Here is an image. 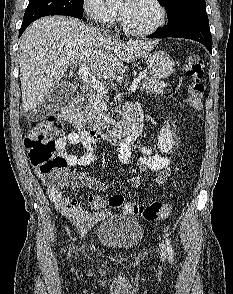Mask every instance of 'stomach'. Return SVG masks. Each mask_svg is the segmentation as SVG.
<instances>
[{
	"mask_svg": "<svg viewBox=\"0 0 233 294\" xmlns=\"http://www.w3.org/2000/svg\"><path fill=\"white\" fill-rule=\"evenodd\" d=\"M149 73L155 79L168 78L175 70V62L163 51H154L145 56Z\"/></svg>",
	"mask_w": 233,
	"mask_h": 294,
	"instance_id": "1",
	"label": "stomach"
}]
</instances>
